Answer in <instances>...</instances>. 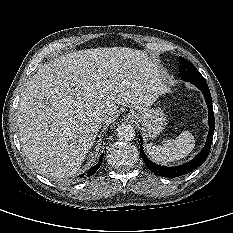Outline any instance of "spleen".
<instances>
[{
  "label": "spleen",
  "mask_w": 233,
  "mask_h": 233,
  "mask_svg": "<svg viewBox=\"0 0 233 233\" xmlns=\"http://www.w3.org/2000/svg\"><path fill=\"white\" fill-rule=\"evenodd\" d=\"M195 147V138L189 131H183L172 141L163 145L149 143L146 153L156 163L167 164L185 158Z\"/></svg>",
  "instance_id": "1"
}]
</instances>
